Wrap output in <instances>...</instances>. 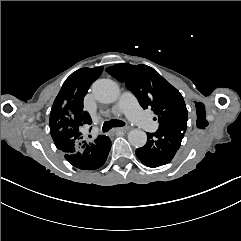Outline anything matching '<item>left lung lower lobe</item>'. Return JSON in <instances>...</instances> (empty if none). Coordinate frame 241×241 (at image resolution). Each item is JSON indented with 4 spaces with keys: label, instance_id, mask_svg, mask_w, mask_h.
<instances>
[{
    "label": "left lung lower lobe",
    "instance_id": "obj_1",
    "mask_svg": "<svg viewBox=\"0 0 241 241\" xmlns=\"http://www.w3.org/2000/svg\"><path fill=\"white\" fill-rule=\"evenodd\" d=\"M187 123L161 126L155 133H147V143L136 150L138 159L148 167L169 163L181 145Z\"/></svg>",
    "mask_w": 241,
    "mask_h": 241
}]
</instances>
